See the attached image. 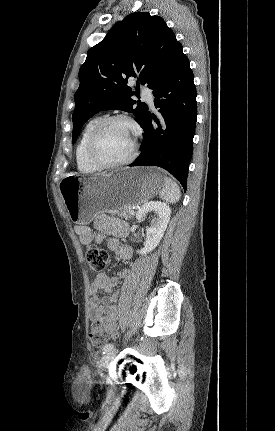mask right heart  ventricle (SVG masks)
<instances>
[{
    "mask_svg": "<svg viewBox=\"0 0 275 431\" xmlns=\"http://www.w3.org/2000/svg\"><path fill=\"white\" fill-rule=\"evenodd\" d=\"M102 120L101 117H94L90 119L83 127L77 146H76V163L79 171L83 173H93L99 168L94 166L87 158L86 145L88 138L96 127V125Z\"/></svg>",
    "mask_w": 275,
    "mask_h": 431,
    "instance_id": "e07e8e85",
    "label": "right heart ventricle"
}]
</instances>
